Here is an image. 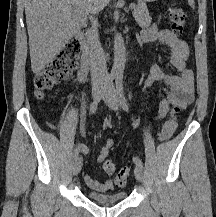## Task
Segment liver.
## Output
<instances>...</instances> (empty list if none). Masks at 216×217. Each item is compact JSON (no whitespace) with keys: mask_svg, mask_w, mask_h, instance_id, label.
<instances>
[{"mask_svg":"<svg viewBox=\"0 0 216 217\" xmlns=\"http://www.w3.org/2000/svg\"><path fill=\"white\" fill-rule=\"evenodd\" d=\"M110 0H25L32 72L38 74Z\"/></svg>","mask_w":216,"mask_h":217,"instance_id":"1","label":"liver"}]
</instances>
